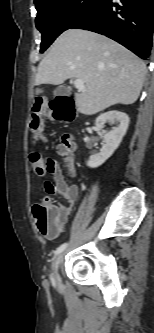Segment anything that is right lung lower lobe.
<instances>
[{"label": "right lung lower lobe", "instance_id": "right-lung-lower-lobe-1", "mask_svg": "<svg viewBox=\"0 0 154 333\" xmlns=\"http://www.w3.org/2000/svg\"><path fill=\"white\" fill-rule=\"evenodd\" d=\"M154 0H101L85 18L73 24L103 34L147 59L152 47Z\"/></svg>", "mask_w": 154, "mask_h": 333}]
</instances>
